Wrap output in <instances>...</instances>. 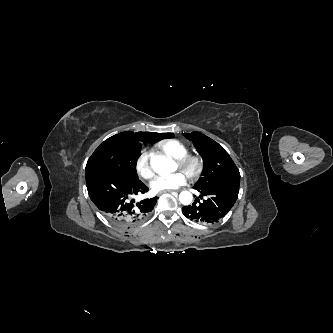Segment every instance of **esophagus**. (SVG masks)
Wrapping results in <instances>:
<instances>
[{"mask_svg":"<svg viewBox=\"0 0 333 333\" xmlns=\"http://www.w3.org/2000/svg\"><path fill=\"white\" fill-rule=\"evenodd\" d=\"M166 192H172V190H166V191L161 192L160 194L166 193Z\"/></svg>","mask_w":333,"mask_h":333,"instance_id":"1","label":"esophagus"}]
</instances>
